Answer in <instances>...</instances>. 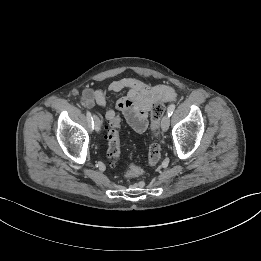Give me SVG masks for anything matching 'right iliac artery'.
I'll return each mask as SVG.
<instances>
[{"mask_svg": "<svg viewBox=\"0 0 261 261\" xmlns=\"http://www.w3.org/2000/svg\"><path fill=\"white\" fill-rule=\"evenodd\" d=\"M86 115H87V120H88L89 126H90V128L93 129V127H94L93 117L89 111L86 112Z\"/></svg>", "mask_w": 261, "mask_h": 261, "instance_id": "1", "label": "right iliac artery"}]
</instances>
